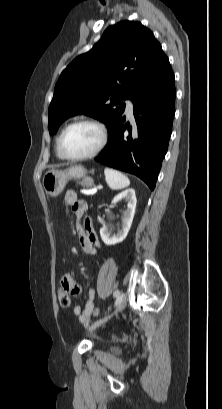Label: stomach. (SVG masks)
I'll use <instances>...</instances> for the list:
<instances>
[{
    "label": "stomach",
    "instance_id": "0dacf381",
    "mask_svg": "<svg viewBox=\"0 0 222 409\" xmlns=\"http://www.w3.org/2000/svg\"><path fill=\"white\" fill-rule=\"evenodd\" d=\"M87 175L82 165H72L65 170L52 169L47 171L42 179V186L47 196H58L69 180H79Z\"/></svg>",
    "mask_w": 222,
    "mask_h": 409
}]
</instances>
